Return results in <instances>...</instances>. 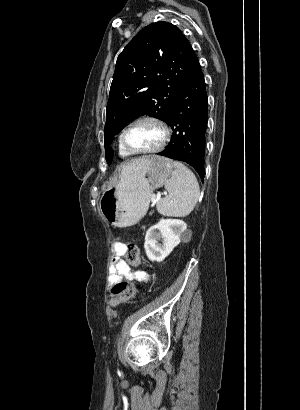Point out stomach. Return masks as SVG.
Segmentation results:
<instances>
[{
	"mask_svg": "<svg viewBox=\"0 0 300 410\" xmlns=\"http://www.w3.org/2000/svg\"><path fill=\"white\" fill-rule=\"evenodd\" d=\"M173 172L170 159L147 157L146 163L121 171L119 182L106 189L99 207L104 218L115 227L137 224L146 214L152 192L162 187Z\"/></svg>",
	"mask_w": 300,
	"mask_h": 410,
	"instance_id": "1",
	"label": "stomach"
}]
</instances>
